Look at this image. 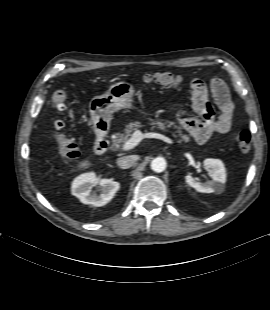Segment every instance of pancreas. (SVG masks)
<instances>
[{"mask_svg": "<svg viewBox=\"0 0 270 310\" xmlns=\"http://www.w3.org/2000/svg\"><path fill=\"white\" fill-rule=\"evenodd\" d=\"M152 125L155 128L165 130L166 128H171L174 125V122L171 121H159V120H153ZM140 127H142L141 123L138 121L131 122L128 125H126V128L124 129V133H117L115 135V139L113 140V144L115 147H119L121 144H125L128 140L129 137L132 136V132L135 130H138ZM178 136L180 137L181 141L183 142H188L189 137L187 135L182 134L181 128L178 127Z\"/></svg>", "mask_w": 270, "mask_h": 310, "instance_id": "1", "label": "pancreas"}]
</instances>
